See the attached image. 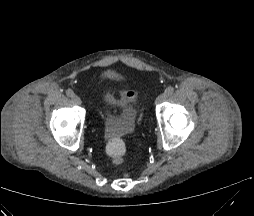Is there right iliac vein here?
<instances>
[{"instance_id": "63e3f726", "label": "right iliac vein", "mask_w": 254, "mask_h": 216, "mask_svg": "<svg viewBox=\"0 0 254 216\" xmlns=\"http://www.w3.org/2000/svg\"><path fill=\"white\" fill-rule=\"evenodd\" d=\"M72 98H73V101H74L75 104H77V105H81L82 104V101H81L79 96L74 95Z\"/></svg>"}]
</instances>
